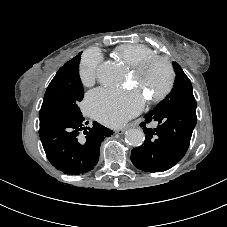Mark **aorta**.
I'll return each mask as SVG.
<instances>
[{"label":"aorta","instance_id":"1","mask_svg":"<svg viewBox=\"0 0 227 227\" xmlns=\"http://www.w3.org/2000/svg\"><path fill=\"white\" fill-rule=\"evenodd\" d=\"M98 79L105 85H114L121 80L120 65L113 61H106L98 68ZM125 138L132 146H140L145 140L143 130L131 128L126 131Z\"/></svg>","mask_w":227,"mask_h":227}]
</instances>
